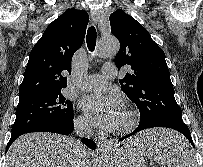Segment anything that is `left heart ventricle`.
<instances>
[{
  "instance_id": "1",
  "label": "left heart ventricle",
  "mask_w": 203,
  "mask_h": 167,
  "mask_svg": "<svg viewBox=\"0 0 203 167\" xmlns=\"http://www.w3.org/2000/svg\"><path fill=\"white\" fill-rule=\"evenodd\" d=\"M126 123V116L125 113L120 118L119 122L116 125V128L123 126Z\"/></svg>"
}]
</instances>
